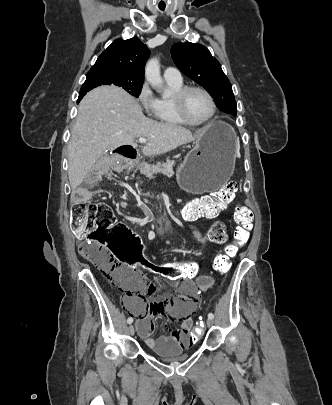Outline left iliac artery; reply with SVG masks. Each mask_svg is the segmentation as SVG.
Here are the masks:
<instances>
[{
	"mask_svg": "<svg viewBox=\"0 0 332 405\" xmlns=\"http://www.w3.org/2000/svg\"><path fill=\"white\" fill-rule=\"evenodd\" d=\"M208 318H209V319H214V314H213V313H209V314H208Z\"/></svg>",
	"mask_w": 332,
	"mask_h": 405,
	"instance_id": "1",
	"label": "left iliac artery"
}]
</instances>
